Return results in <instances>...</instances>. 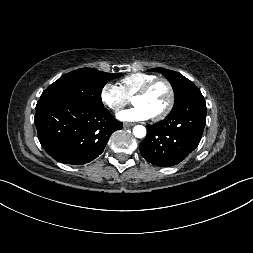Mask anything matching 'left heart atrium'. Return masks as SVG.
Listing matches in <instances>:
<instances>
[{"label": "left heart atrium", "instance_id": "39dd6f15", "mask_svg": "<svg viewBox=\"0 0 253 253\" xmlns=\"http://www.w3.org/2000/svg\"><path fill=\"white\" fill-rule=\"evenodd\" d=\"M122 121H144L151 118V114L142 105H134L133 107L123 110L117 114Z\"/></svg>", "mask_w": 253, "mask_h": 253}]
</instances>
